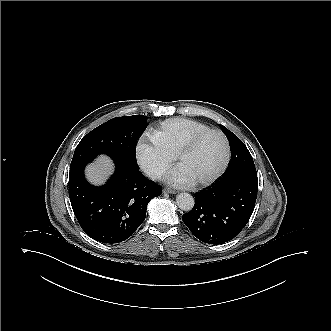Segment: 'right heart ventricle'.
Here are the masks:
<instances>
[{
  "label": "right heart ventricle",
  "mask_w": 331,
  "mask_h": 331,
  "mask_svg": "<svg viewBox=\"0 0 331 331\" xmlns=\"http://www.w3.org/2000/svg\"><path fill=\"white\" fill-rule=\"evenodd\" d=\"M208 129L206 124L198 120L174 117L160 124L152 140L160 151L175 155L189 139Z\"/></svg>",
  "instance_id": "1"
}]
</instances>
